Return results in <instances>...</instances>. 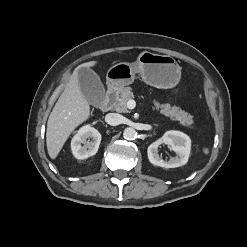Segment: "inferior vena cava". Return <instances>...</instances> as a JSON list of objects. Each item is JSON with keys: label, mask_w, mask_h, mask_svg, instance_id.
<instances>
[{"label": "inferior vena cava", "mask_w": 247, "mask_h": 247, "mask_svg": "<svg viewBox=\"0 0 247 247\" xmlns=\"http://www.w3.org/2000/svg\"><path fill=\"white\" fill-rule=\"evenodd\" d=\"M105 121L109 125L116 126L122 123L123 116L118 113H108L105 116Z\"/></svg>", "instance_id": "obj_1"}]
</instances>
